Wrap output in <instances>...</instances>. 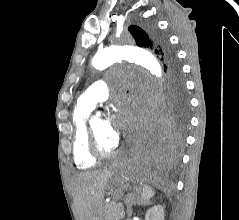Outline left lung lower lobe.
<instances>
[{"label":"left lung lower lobe","instance_id":"1","mask_svg":"<svg viewBox=\"0 0 239 220\" xmlns=\"http://www.w3.org/2000/svg\"><path fill=\"white\" fill-rule=\"evenodd\" d=\"M182 143L181 130L168 120L160 134L136 159V168L144 174H160L177 162Z\"/></svg>","mask_w":239,"mask_h":220}]
</instances>
